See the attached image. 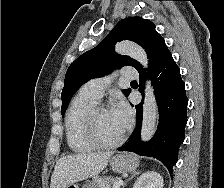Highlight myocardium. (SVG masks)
I'll list each match as a JSON object with an SVG mask.
<instances>
[{
	"mask_svg": "<svg viewBox=\"0 0 224 188\" xmlns=\"http://www.w3.org/2000/svg\"><path fill=\"white\" fill-rule=\"evenodd\" d=\"M109 108L103 104H96L88 113L85 121V132L89 141L99 148H114L122 144L126 138L128 129L125 128L123 133L113 141L103 140L97 130V119L101 111L108 110Z\"/></svg>",
	"mask_w": 224,
	"mask_h": 188,
	"instance_id": "obj_1",
	"label": "myocardium"
}]
</instances>
